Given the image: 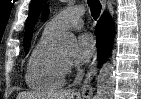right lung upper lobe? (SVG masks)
I'll return each instance as SVG.
<instances>
[{
  "label": "right lung upper lobe",
  "instance_id": "cb5924a9",
  "mask_svg": "<svg viewBox=\"0 0 141 99\" xmlns=\"http://www.w3.org/2000/svg\"><path fill=\"white\" fill-rule=\"evenodd\" d=\"M49 14V9L48 7H45L44 11H43V15H42V20L45 21L47 16Z\"/></svg>",
  "mask_w": 141,
  "mask_h": 99
}]
</instances>
